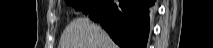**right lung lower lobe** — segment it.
<instances>
[{
  "instance_id": "obj_1",
  "label": "right lung lower lobe",
  "mask_w": 213,
  "mask_h": 48,
  "mask_svg": "<svg viewBox=\"0 0 213 48\" xmlns=\"http://www.w3.org/2000/svg\"><path fill=\"white\" fill-rule=\"evenodd\" d=\"M155 0H97L86 13L121 48H145Z\"/></svg>"
}]
</instances>
